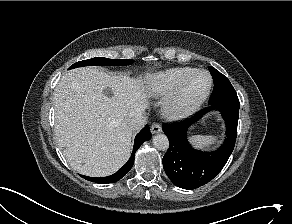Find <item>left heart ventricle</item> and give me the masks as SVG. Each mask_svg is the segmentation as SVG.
<instances>
[{
  "label": "left heart ventricle",
  "mask_w": 292,
  "mask_h": 224,
  "mask_svg": "<svg viewBox=\"0 0 292 224\" xmlns=\"http://www.w3.org/2000/svg\"><path fill=\"white\" fill-rule=\"evenodd\" d=\"M210 83L209 76L206 73L196 74L187 84L183 99L185 102H191L202 96Z\"/></svg>",
  "instance_id": "obj_1"
}]
</instances>
